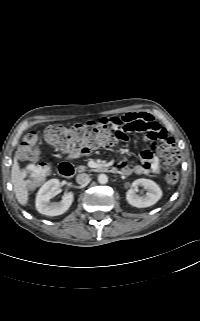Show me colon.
<instances>
[{
	"instance_id": "5ec220e1",
	"label": "colon",
	"mask_w": 200,
	"mask_h": 321,
	"mask_svg": "<svg viewBox=\"0 0 200 321\" xmlns=\"http://www.w3.org/2000/svg\"><path fill=\"white\" fill-rule=\"evenodd\" d=\"M122 138L121 125L111 119L74 125H50L45 130V139L49 144L74 154H85L98 147L113 146ZM38 155L37 135L33 132L28 133L20 144L19 156L31 162L25 171V177L31 184L41 183L50 171L47 163L37 162ZM162 155L167 171L165 180L169 184H175L178 180V152L171 146Z\"/></svg>"
}]
</instances>
